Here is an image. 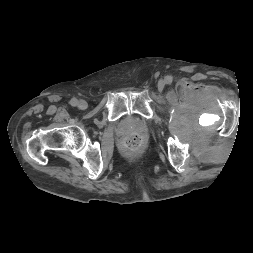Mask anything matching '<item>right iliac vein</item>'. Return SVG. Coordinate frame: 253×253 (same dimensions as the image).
Returning a JSON list of instances; mask_svg holds the SVG:
<instances>
[{
	"label": "right iliac vein",
	"mask_w": 253,
	"mask_h": 253,
	"mask_svg": "<svg viewBox=\"0 0 253 253\" xmlns=\"http://www.w3.org/2000/svg\"><path fill=\"white\" fill-rule=\"evenodd\" d=\"M88 104L85 100H80L78 103V107L81 110H85L87 108Z\"/></svg>",
	"instance_id": "63e3f726"
}]
</instances>
